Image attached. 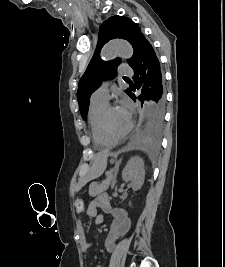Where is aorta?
<instances>
[{"label": "aorta", "instance_id": "762f6f07", "mask_svg": "<svg viewBox=\"0 0 225 267\" xmlns=\"http://www.w3.org/2000/svg\"><path fill=\"white\" fill-rule=\"evenodd\" d=\"M116 55L123 59H129L133 55V48L127 41H117L106 44L101 51V57L104 60H110ZM150 111L151 105L149 104L147 106L148 115H150Z\"/></svg>", "mask_w": 225, "mask_h": 267}]
</instances>
